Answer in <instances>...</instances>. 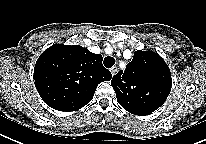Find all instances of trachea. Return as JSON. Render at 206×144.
Instances as JSON below:
<instances>
[{
  "label": "trachea",
  "instance_id": "3493384b",
  "mask_svg": "<svg viewBox=\"0 0 206 144\" xmlns=\"http://www.w3.org/2000/svg\"><path fill=\"white\" fill-rule=\"evenodd\" d=\"M103 63L106 68H111L115 64V59L108 56L104 59Z\"/></svg>",
  "mask_w": 206,
  "mask_h": 144
}]
</instances>
